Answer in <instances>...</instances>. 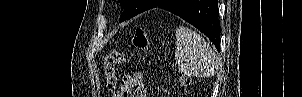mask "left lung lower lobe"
Here are the masks:
<instances>
[{
  "label": "left lung lower lobe",
  "mask_w": 302,
  "mask_h": 97,
  "mask_svg": "<svg viewBox=\"0 0 302 97\" xmlns=\"http://www.w3.org/2000/svg\"><path fill=\"white\" fill-rule=\"evenodd\" d=\"M155 7L180 16L203 32L213 42L217 50H220L218 0H154L148 9Z\"/></svg>",
  "instance_id": "0a47b994"
}]
</instances>
